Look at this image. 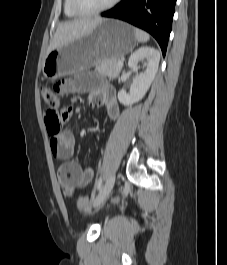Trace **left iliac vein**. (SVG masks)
Returning a JSON list of instances; mask_svg holds the SVG:
<instances>
[{
    "mask_svg": "<svg viewBox=\"0 0 227 265\" xmlns=\"http://www.w3.org/2000/svg\"><path fill=\"white\" fill-rule=\"evenodd\" d=\"M115 174H112L109 176V178L107 179L106 183L104 184V186L102 187V189L100 190L98 196L96 197L93 207L97 208L99 206H101L105 200L107 199V197L109 196L114 183H115Z\"/></svg>",
    "mask_w": 227,
    "mask_h": 265,
    "instance_id": "left-iliac-vein-1",
    "label": "left iliac vein"
}]
</instances>
